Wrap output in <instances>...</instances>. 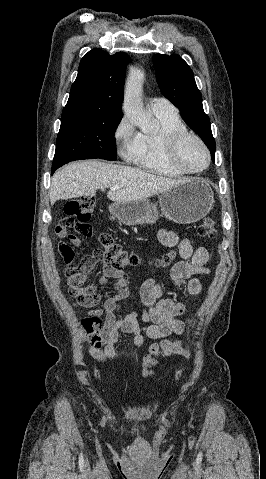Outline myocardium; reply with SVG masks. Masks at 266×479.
<instances>
[{
	"instance_id": "myocardium-1",
	"label": "myocardium",
	"mask_w": 266,
	"mask_h": 479,
	"mask_svg": "<svg viewBox=\"0 0 266 479\" xmlns=\"http://www.w3.org/2000/svg\"><path fill=\"white\" fill-rule=\"evenodd\" d=\"M188 139L195 140L204 150L206 155V164L200 169H189L180 160L179 151L181 145ZM165 155L167 161L183 174H200L208 169L211 164V153L206 143L195 133L190 131H174L166 135Z\"/></svg>"
}]
</instances>
